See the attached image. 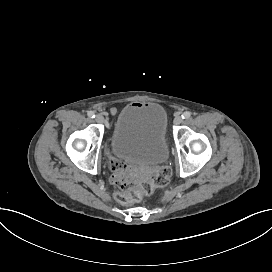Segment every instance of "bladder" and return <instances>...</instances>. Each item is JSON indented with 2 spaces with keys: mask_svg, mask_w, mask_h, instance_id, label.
Listing matches in <instances>:
<instances>
[{
  "mask_svg": "<svg viewBox=\"0 0 272 272\" xmlns=\"http://www.w3.org/2000/svg\"><path fill=\"white\" fill-rule=\"evenodd\" d=\"M167 116L160 104L126 105L109 137V150L116 158L145 166L167 163Z\"/></svg>",
  "mask_w": 272,
  "mask_h": 272,
  "instance_id": "31cf9c89",
  "label": "bladder"
}]
</instances>
